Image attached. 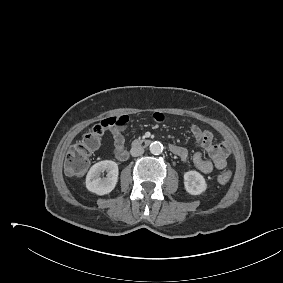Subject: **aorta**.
Listing matches in <instances>:
<instances>
[{"label":"aorta","mask_w":283,"mask_h":283,"mask_svg":"<svg viewBox=\"0 0 283 283\" xmlns=\"http://www.w3.org/2000/svg\"><path fill=\"white\" fill-rule=\"evenodd\" d=\"M149 149L152 154L159 155L163 151V145L160 142L155 141L150 144Z\"/></svg>","instance_id":"1"}]
</instances>
